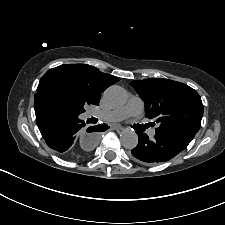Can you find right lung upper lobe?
<instances>
[{
	"label": "right lung upper lobe",
	"instance_id": "right-lung-upper-lobe-1",
	"mask_svg": "<svg viewBox=\"0 0 225 225\" xmlns=\"http://www.w3.org/2000/svg\"><path fill=\"white\" fill-rule=\"evenodd\" d=\"M49 79L66 81L81 91L89 104L93 105H98L101 93L119 80L113 75L102 73L97 68L86 64H65L52 68L44 74L40 83Z\"/></svg>",
	"mask_w": 225,
	"mask_h": 225
}]
</instances>
